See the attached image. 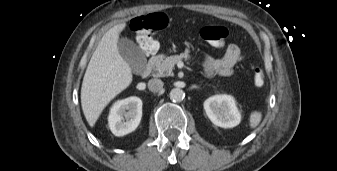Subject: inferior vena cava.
Returning <instances> with one entry per match:
<instances>
[{
    "label": "inferior vena cava",
    "instance_id": "602c4592",
    "mask_svg": "<svg viewBox=\"0 0 337 171\" xmlns=\"http://www.w3.org/2000/svg\"><path fill=\"white\" fill-rule=\"evenodd\" d=\"M163 81L160 79H151L148 82V88L152 92H159L163 88Z\"/></svg>",
    "mask_w": 337,
    "mask_h": 171
}]
</instances>
